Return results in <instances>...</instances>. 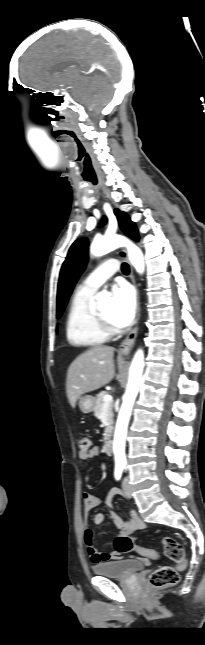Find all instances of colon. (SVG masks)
I'll return each mask as SVG.
<instances>
[{
	"label": "colon",
	"instance_id": "colon-1",
	"mask_svg": "<svg viewBox=\"0 0 205 645\" xmlns=\"http://www.w3.org/2000/svg\"><path fill=\"white\" fill-rule=\"evenodd\" d=\"M92 442L87 436L78 438L80 452L90 450ZM165 555L175 563V567L161 566L151 572L148 576V584L151 588L161 589L176 585L179 582V571L185 569L186 558L183 546L174 538L165 536L162 539ZM114 549L120 554L135 552L143 558L155 559L158 553L152 549L138 546L132 536H118L114 540Z\"/></svg>",
	"mask_w": 205,
	"mask_h": 645
}]
</instances>
